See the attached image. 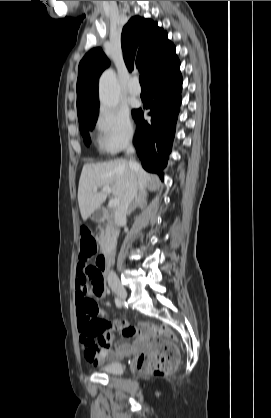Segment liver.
Returning <instances> with one entry per match:
<instances>
[{
    "instance_id": "obj_1",
    "label": "liver",
    "mask_w": 271,
    "mask_h": 418,
    "mask_svg": "<svg viewBox=\"0 0 271 418\" xmlns=\"http://www.w3.org/2000/svg\"><path fill=\"white\" fill-rule=\"evenodd\" d=\"M130 172L129 162L122 159L83 166L78 187V203L84 221L99 209L107 198V193L97 192L98 188L109 186L115 198L120 201L123 199ZM134 172L137 178V189L146 196L144 188L147 182L151 181L152 176L138 163Z\"/></svg>"
}]
</instances>
